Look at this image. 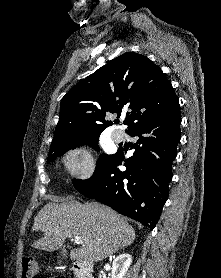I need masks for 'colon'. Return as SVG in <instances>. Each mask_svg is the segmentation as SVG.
I'll list each match as a JSON object with an SVG mask.
<instances>
[{
  "mask_svg": "<svg viewBox=\"0 0 221 278\" xmlns=\"http://www.w3.org/2000/svg\"><path fill=\"white\" fill-rule=\"evenodd\" d=\"M22 278H44L40 274V267L32 257H25L22 260ZM52 278H65L64 276H55Z\"/></svg>",
  "mask_w": 221,
  "mask_h": 278,
  "instance_id": "1",
  "label": "colon"
}]
</instances>
